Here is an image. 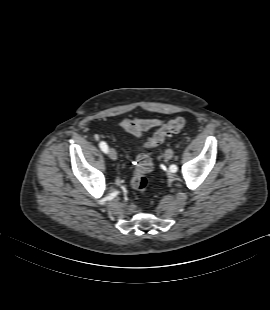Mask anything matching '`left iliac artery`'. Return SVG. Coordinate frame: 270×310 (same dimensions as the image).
<instances>
[{
  "instance_id": "left-iliac-artery-1",
  "label": "left iliac artery",
  "mask_w": 270,
  "mask_h": 310,
  "mask_svg": "<svg viewBox=\"0 0 270 310\" xmlns=\"http://www.w3.org/2000/svg\"><path fill=\"white\" fill-rule=\"evenodd\" d=\"M170 170H171V172H176L177 171V166L176 165H171L170 166Z\"/></svg>"
}]
</instances>
